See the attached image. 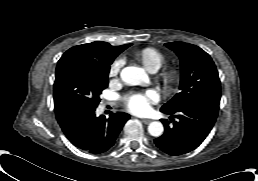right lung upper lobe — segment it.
I'll return each mask as SVG.
<instances>
[{
  "label": "right lung upper lobe",
  "mask_w": 258,
  "mask_h": 181,
  "mask_svg": "<svg viewBox=\"0 0 258 181\" xmlns=\"http://www.w3.org/2000/svg\"><path fill=\"white\" fill-rule=\"evenodd\" d=\"M125 49L126 45L111 46L107 42L96 41L72 47L68 51L80 52L90 59L110 66L113 60Z\"/></svg>",
  "instance_id": "cb5924a9"
}]
</instances>
